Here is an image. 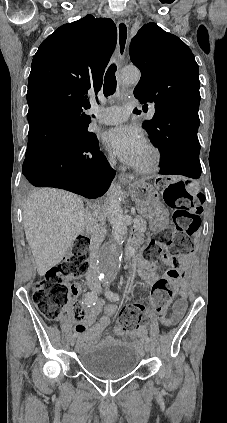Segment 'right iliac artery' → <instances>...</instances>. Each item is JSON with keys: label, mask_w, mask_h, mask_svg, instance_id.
Returning <instances> with one entry per match:
<instances>
[{"label": "right iliac artery", "mask_w": 227, "mask_h": 423, "mask_svg": "<svg viewBox=\"0 0 227 423\" xmlns=\"http://www.w3.org/2000/svg\"><path fill=\"white\" fill-rule=\"evenodd\" d=\"M97 301V293L96 292H87L85 293L84 303L86 307H91L92 305H95ZM73 337H77V333L73 334Z\"/></svg>", "instance_id": "1"}]
</instances>
